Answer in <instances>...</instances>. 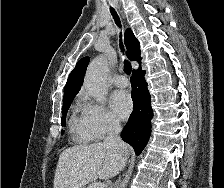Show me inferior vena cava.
Returning a JSON list of instances; mask_svg holds the SVG:
<instances>
[{"mask_svg": "<svg viewBox=\"0 0 224 188\" xmlns=\"http://www.w3.org/2000/svg\"><path fill=\"white\" fill-rule=\"evenodd\" d=\"M121 126L118 121L110 120L108 123V135L104 140V145L120 149H127V145L121 140L119 134Z\"/></svg>", "mask_w": 224, "mask_h": 188, "instance_id": "1", "label": "inferior vena cava"}]
</instances>
